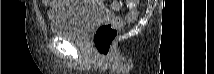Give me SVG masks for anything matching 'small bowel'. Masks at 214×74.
<instances>
[{
  "label": "small bowel",
  "mask_w": 214,
  "mask_h": 74,
  "mask_svg": "<svg viewBox=\"0 0 214 74\" xmlns=\"http://www.w3.org/2000/svg\"><path fill=\"white\" fill-rule=\"evenodd\" d=\"M42 6L44 7L45 13L48 18L53 19L54 12L57 10H65L72 5V2L69 1H41Z\"/></svg>",
  "instance_id": "small-bowel-1"
}]
</instances>
